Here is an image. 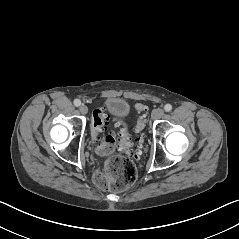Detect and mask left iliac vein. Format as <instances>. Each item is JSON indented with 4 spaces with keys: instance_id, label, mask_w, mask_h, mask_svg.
Instances as JSON below:
<instances>
[{
    "instance_id": "left-iliac-vein-1",
    "label": "left iliac vein",
    "mask_w": 239,
    "mask_h": 239,
    "mask_svg": "<svg viewBox=\"0 0 239 239\" xmlns=\"http://www.w3.org/2000/svg\"><path fill=\"white\" fill-rule=\"evenodd\" d=\"M164 115V110L161 108H156L152 111L151 117L154 120L162 118Z\"/></svg>"
}]
</instances>
